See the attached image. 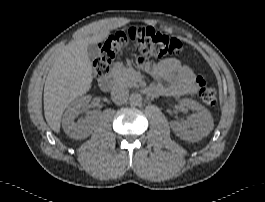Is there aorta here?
<instances>
[{
  "label": "aorta",
  "instance_id": "obj_1",
  "mask_svg": "<svg viewBox=\"0 0 265 202\" xmlns=\"http://www.w3.org/2000/svg\"><path fill=\"white\" fill-rule=\"evenodd\" d=\"M142 96L138 93L131 94L129 102L132 106H140L142 104Z\"/></svg>",
  "mask_w": 265,
  "mask_h": 202
}]
</instances>
